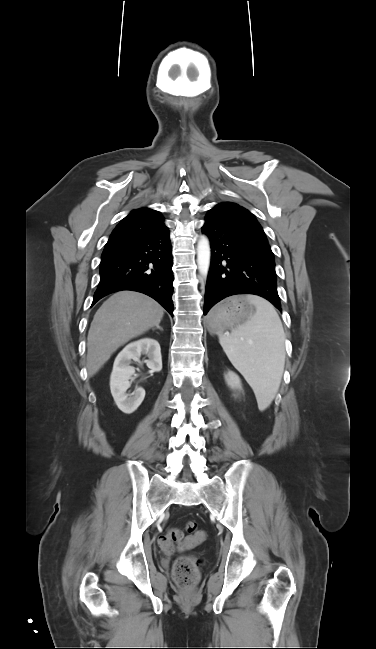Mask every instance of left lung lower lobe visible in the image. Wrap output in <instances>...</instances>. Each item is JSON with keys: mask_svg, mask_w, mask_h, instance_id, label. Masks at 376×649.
Masks as SVG:
<instances>
[{"mask_svg": "<svg viewBox=\"0 0 376 649\" xmlns=\"http://www.w3.org/2000/svg\"><path fill=\"white\" fill-rule=\"evenodd\" d=\"M202 230L211 246L204 315L217 302L235 294L261 296L281 311L274 255L268 241L210 215Z\"/></svg>", "mask_w": 376, "mask_h": 649, "instance_id": "obj_1", "label": "left lung lower lobe"}]
</instances>
